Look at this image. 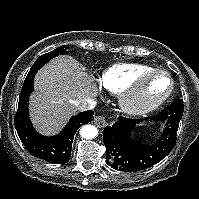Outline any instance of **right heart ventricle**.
<instances>
[{"mask_svg": "<svg viewBox=\"0 0 199 199\" xmlns=\"http://www.w3.org/2000/svg\"><path fill=\"white\" fill-rule=\"evenodd\" d=\"M153 67L139 63H119L108 67L101 75V85L112 93L126 91L136 79Z\"/></svg>", "mask_w": 199, "mask_h": 199, "instance_id": "e07e8e85", "label": "right heart ventricle"}]
</instances>
